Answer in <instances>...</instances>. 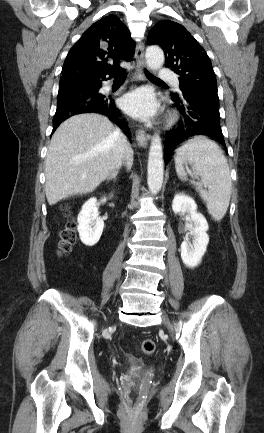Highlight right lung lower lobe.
I'll list each match as a JSON object with an SVG mask.
<instances>
[{
	"instance_id": "obj_1",
	"label": "right lung lower lobe",
	"mask_w": 264,
	"mask_h": 433,
	"mask_svg": "<svg viewBox=\"0 0 264 433\" xmlns=\"http://www.w3.org/2000/svg\"><path fill=\"white\" fill-rule=\"evenodd\" d=\"M106 77L89 82H79L59 87L57 110L53 118V131L70 116L96 112L104 114L115 122L130 138V131L126 124L117 119L119 110L111 96L98 93Z\"/></svg>"
}]
</instances>
